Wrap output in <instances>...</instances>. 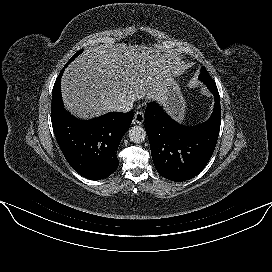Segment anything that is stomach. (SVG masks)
Wrapping results in <instances>:
<instances>
[{
    "mask_svg": "<svg viewBox=\"0 0 272 272\" xmlns=\"http://www.w3.org/2000/svg\"><path fill=\"white\" fill-rule=\"evenodd\" d=\"M165 98L168 113L177 121H182L185 114V100L179 85L172 78L167 84Z\"/></svg>",
    "mask_w": 272,
    "mask_h": 272,
    "instance_id": "obj_1",
    "label": "stomach"
}]
</instances>
